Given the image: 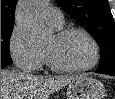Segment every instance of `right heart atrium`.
<instances>
[{"instance_id":"1","label":"right heart atrium","mask_w":115,"mask_h":99,"mask_svg":"<svg viewBox=\"0 0 115 99\" xmlns=\"http://www.w3.org/2000/svg\"><path fill=\"white\" fill-rule=\"evenodd\" d=\"M8 50L13 62L23 71H35L44 62V55L28 45L24 35L17 27H14L10 34Z\"/></svg>"}]
</instances>
